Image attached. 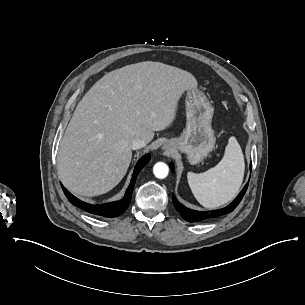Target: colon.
Segmentation results:
<instances>
[{
  "label": "colon",
  "instance_id": "obj_1",
  "mask_svg": "<svg viewBox=\"0 0 305 305\" xmlns=\"http://www.w3.org/2000/svg\"><path fill=\"white\" fill-rule=\"evenodd\" d=\"M214 85H215V87L220 91V92H224V86L222 85V83L221 82H219V81H216L215 83H214Z\"/></svg>",
  "mask_w": 305,
  "mask_h": 305
}]
</instances>
